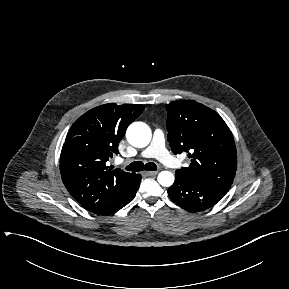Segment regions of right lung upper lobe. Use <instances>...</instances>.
Instances as JSON below:
<instances>
[{
  "mask_svg": "<svg viewBox=\"0 0 289 289\" xmlns=\"http://www.w3.org/2000/svg\"><path fill=\"white\" fill-rule=\"evenodd\" d=\"M144 105L105 104L78 118L70 128L60 156L64 185L85 209L103 214L135 185L136 173L112 170L106 162L125 135L127 127L143 112Z\"/></svg>",
  "mask_w": 289,
  "mask_h": 289,
  "instance_id": "obj_1",
  "label": "right lung upper lobe"
}]
</instances>
